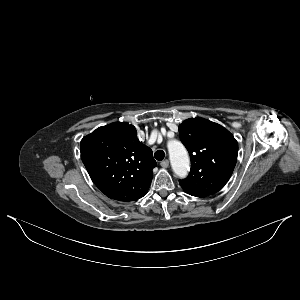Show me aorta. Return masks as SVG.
<instances>
[{"instance_id": "aorta-1", "label": "aorta", "mask_w": 300, "mask_h": 300, "mask_svg": "<svg viewBox=\"0 0 300 300\" xmlns=\"http://www.w3.org/2000/svg\"><path fill=\"white\" fill-rule=\"evenodd\" d=\"M168 151L174 173L180 178H185L190 165L187 150L181 142L172 140L168 143Z\"/></svg>"}]
</instances>
